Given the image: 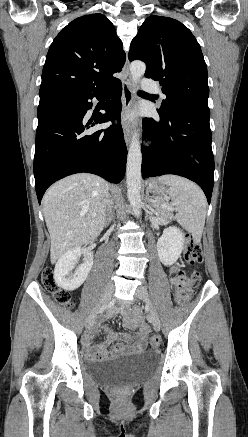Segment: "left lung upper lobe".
I'll return each mask as SVG.
<instances>
[{
    "instance_id": "5c2ea615",
    "label": "left lung upper lobe",
    "mask_w": 248,
    "mask_h": 437,
    "mask_svg": "<svg viewBox=\"0 0 248 437\" xmlns=\"http://www.w3.org/2000/svg\"><path fill=\"white\" fill-rule=\"evenodd\" d=\"M146 64L145 76L160 82L166 99L158 113L178 107L208 108L207 66L196 38L179 21L152 15L132 40L129 60Z\"/></svg>"
}]
</instances>
